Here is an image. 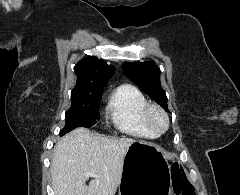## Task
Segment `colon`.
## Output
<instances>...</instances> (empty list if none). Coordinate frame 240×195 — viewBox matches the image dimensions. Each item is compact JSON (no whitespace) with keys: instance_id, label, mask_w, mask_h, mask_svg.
Here are the masks:
<instances>
[{"instance_id":"5ec220e1","label":"colon","mask_w":240,"mask_h":195,"mask_svg":"<svg viewBox=\"0 0 240 195\" xmlns=\"http://www.w3.org/2000/svg\"><path fill=\"white\" fill-rule=\"evenodd\" d=\"M177 174L182 177L183 186H176V195H194V189L190 181L182 171H177Z\"/></svg>"}]
</instances>
